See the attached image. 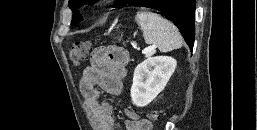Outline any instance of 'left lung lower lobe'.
<instances>
[{
  "instance_id": "obj_1",
  "label": "left lung lower lobe",
  "mask_w": 257,
  "mask_h": 130,
  "mask_svg": "<svg viewBox=\"0 0 257 130\" xmlns=\"http://www.w3.org/2000/svg\"><path fill=\"white\" fill-rule=\"evenodd\" d=\"M136 5L152 8L172 21L192 50L195 38V0H137Z\"/></svg>"
}]
</instances>
